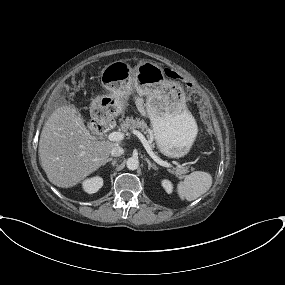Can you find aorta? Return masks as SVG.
<instances>
[{"label":"aorta","instance_id":"762f6f07","mask_svg":"<svg viewBox=\"0 0 285 285\" xmlns=\"http://www.w3.org/2000/svg\"><path fill=\"white\" fill-rule=\"evenodd\" d=\"M129 170H136L139 167V160L135 157H130L126 161Z\"/></svg>","mask_w":285,"mask_h":285}]
</instances>
